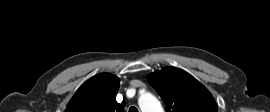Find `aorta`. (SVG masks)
Here are the masks:
<instances>
[{
	"label": "aorta",
	"mask_w": 270,
	"mask_h": 112,
	"mask_svg": "<svg viewBox=\"0 0 270 112\" xmlns=\"http://www.w3.org/2000/svg\"><path fill=\"white\" fill-rule=\"evenodd\" d=\"M138 104L142 112H164L160 102L149 92L140 95Z\"/></svg>",
	"instance_id": "aorta-1"
}]
</instances>
